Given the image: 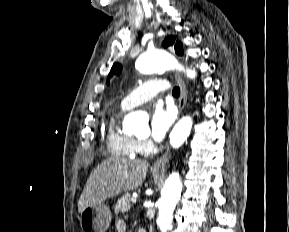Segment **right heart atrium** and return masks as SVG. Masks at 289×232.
Segmentation results:
<instances>
[{
	"instance_id": "d8ad5b80",
	"label": "right heart atrium",
	"mask_w": 289,
	"mask_h": 232,
	"mask_svg": "<svg viewBox=\"0 0 289 232\" xmlns=\"http://www.w3.org/2000/svg\"><path fill=\"white\" fill-rule=\"evenodd\" d=\"M137 147H138V151L140 153H146L148 152L149 148H150V142L148 140L145 139H141L137 141Z\"/></svg>"
}]
</instances>
